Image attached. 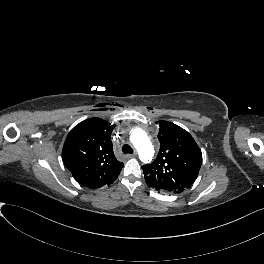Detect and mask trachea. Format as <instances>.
I'll use <instances>...</instances> for the list:
<instances>
[{
	"instance_id": "trachea-1",
	"label": "trachea",
	"mask_w": 264,
	"mask_h": 264,
	"mask_svg": "<svg viewBox=\"0 0 264 264\" xmlns=\"http://www.w3.org/2000/svg\"><path fill=\"white\" fill-rule=\"evenodd\" d=\"M122 151H123V153H130V154L133 153L132 147L128 144L123 145Z\"/></svg>"
}]
</instances>
